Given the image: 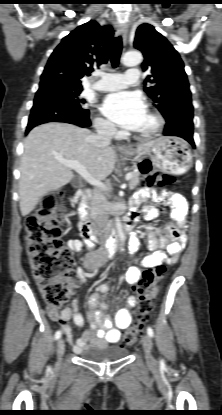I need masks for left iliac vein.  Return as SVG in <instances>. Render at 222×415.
<instances>
[{
	"instance_id": "1",
	"label": "left iliac vein",
	"mask_w": 222,
	"mask_h": 415,
	"mask_svg": "<svg viewBox=\"0 0 222 415\" xmlns=\"http://www.w3.org/2000/svg\"><path fill=\"white\" fill-rule=\"evenodd\" d=\"M142 345L145 353V358L148 364H152L154 362V358L152 356V341L149 335L145 334L142 338Z\"/></svg>"
}]
</instances>
